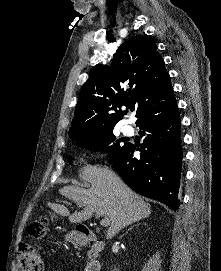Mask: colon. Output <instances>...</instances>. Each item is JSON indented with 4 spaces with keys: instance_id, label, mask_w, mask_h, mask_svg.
I'll return each mask as SVG.
<instances>
[{
    "instance_id": "obj_1",
    "label": "colon",
    "mask_w": 221,
    "mask_h": 271,
    "mask_svg": "<svg viewBox=\"0 0 221 271\" xmlns=\"http://www.w3.org/2000/svg\"><path fill=\"white\" fill-rule=\"evenodd\" d=\"M53 217V214H49ZM48 217L37 219L30 226V235L36 239H42L47 236ZM18 268L19 271H44L43 262L39 256L37 248L27 242H22L18 246Z\"/></svg>"
}]
</instances>
